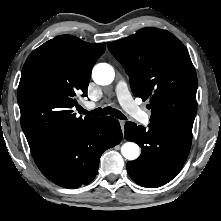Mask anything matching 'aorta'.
Returning a JSON list of instances; mask_svg holds the SVG:
<instances>
[{
    "label": "aorta",
    "mask_w": 221,
    "mask_h": 221,
    "mask_svg": "<svg viewBox=\"0 0 221 221\" xmlns=\"http://www.w3.org/2000/svg\"><path fill=\"white\" fill-rule=\"evenodd\" d=\"M114 77V69L107 63H99L93 68L92 78L99 85H109ZM121 153L126 159L135 160L140 155V148L136 143L127 142L122 145Z\"/></svg>",
    "instance_id": "1"
}]
</instances>
